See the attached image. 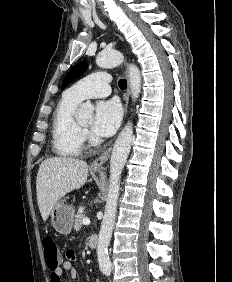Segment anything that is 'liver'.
<instances>
[{"label": "liver", "instance_id": "6515ba94", "mask_svg": "<svg viewBox=\"0 0 232 282\" xmlns=\"http://www.w3.org/2000/svg\"><path fill=\"white\" fill-rule=\"evenodd\" d=\"M87 175L88 165L80 159L53 157L41 163L37 173L36 192L44 222L62 197L85 184Z\"/></svg>", "mask_w": 232, "mask_h": 282}]
</instances>
